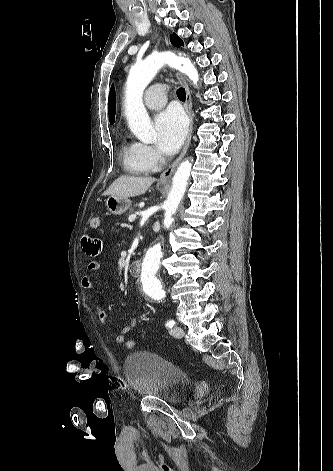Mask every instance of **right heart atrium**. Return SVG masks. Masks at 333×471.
Instances as JSON below:
<instances>
[{"mask_svg":"<svg viewBox=\"0 0 333 471\" xmlns=\"http://www.w3.org/2000/svg\"><path fill=\"white\" fill-rule=\"evenodd\" d=\"M135 149L139 160L150 170H154L162 163V157L152 146L135 143Z\"/></svg>","mask_w":333,"mask_h":471,"instance_id":"1","label":"right heart atrium"}]
</instances>
